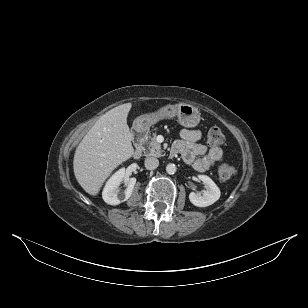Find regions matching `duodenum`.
<instances>
[{"instance_id":"obj_1","label":"duodenum","mask_w":308,"mask_h":308,"mask_svg":"<svg viewBox=\"0 0 308 308\" xmlns=\"http://www.w3.org/2000/svg\"><path fill=\"white\" fill-rule=\"evenodd\" d=\"M147 133V127L144 124L136 126V128L133 131V140L135 143V149L133 151V158L138 159L142 156L143 153V140ZM171 153L174 154L175 150L172 146Z\"/></svg>"}]
</instances>
